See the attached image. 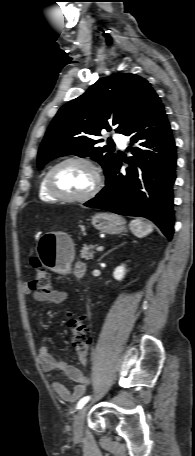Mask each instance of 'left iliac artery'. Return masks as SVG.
I'll use <instances>...</instances> for the list:
<instances>
[{
    "mask_svg": "<svg viewBox=\"0 0 195 456\" xmlns=\"http://www.w3.org/2000/svg\"><path fill=\"white\" fill-rule=\"evenodd\" d=\"M90 400V396H85L77 404V409H80L83 405H85Z\"/></svg>",
    "mask_w": 195,
    "mask_h": 456,
    "instance_id": "left-iliac-artery-1",
    "label": "left iliac artery"
}]
</instances>
